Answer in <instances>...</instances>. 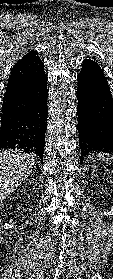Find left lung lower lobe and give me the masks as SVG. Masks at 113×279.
<instances>
[{"mask_svg": "<svg viewBox=\"0 0 113 279\" xmlns=\"http://www.w3.org/2000/svg\"><path fill=\"white\" fill-rule=\"evenodd\" d=\"M81 160L94 152L113 153V99L99 64L84 60L77 76Z\"/></svg>", "mask_w": 113, "mask_h": 279, "instance_id": "obj_1", "label": "left lung lower lobe"}]
</instances>
